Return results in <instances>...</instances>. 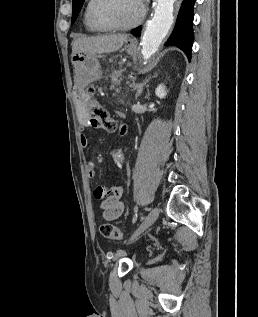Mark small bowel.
<instances>
[{
    "label": "small bowel",
    "mask_w": 258,
    "mask_h": 317,
    "mask_svg": "<svg viewBox=\"0 0 258 317\" xmlns=\"http://www.w3.org/2000/svg\"><path fill=\"white\" fill-rule=\"evenodd\" d=\"M119 133L124 135L126 133V127L121 125L119 127ZM80 142L83 147H87L89 139L87 133L82 131L80 134ZM86 173L89 178H93L96 174L95 163L92 160L86 162ZM94 196L98 200H102L99 208L103 213V218L107 221L117 219L124 211L123 202V188L112 185H98L94 190Z\"/></svg>",
    "instance_id": "c3829d8e"
}]
</instances>
